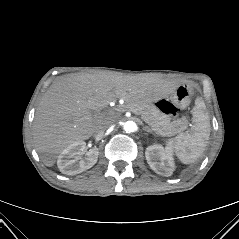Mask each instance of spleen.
<instances>
[{"label": "spleen", "mask_w": 239, "mask_h": 239, "mask_svg": "<svg viewBox=\"0 0 239 239\" xmlns=\"http://www.w3.org/2000/svg\"><path fill=\"white\" fill-rule=\"evenodd\" d=\"M192 126L190 131L180 133L167 142L178 159L183 164H192L201 157L207 146L211 125L206 105L202 98L197 97L192 113Z\"/></svg>", "instance_id": "spleen-1"}]
</instances>
